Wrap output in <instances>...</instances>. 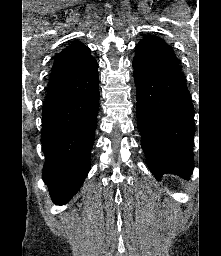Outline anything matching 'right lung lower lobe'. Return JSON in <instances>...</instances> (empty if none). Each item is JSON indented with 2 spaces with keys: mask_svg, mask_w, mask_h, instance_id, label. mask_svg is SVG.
<instances>
[{
  "mask_svg": "<svg viewBox=\"0 0 221 256\" xmlns=\"http://www.w3.org/2000/svg\"><path fill=\"white\" fill-rule=\"evenodd\" d=\"M98 110L99 88L72 101L43 108L42 176L54 203L68 202L89 172Z\"/></svg>",
  "mask_w": 221,
  "mask_h": 256,
  "instance_id": "obj_1",
  "label": "right lung lower lobe"
}]
</instances>
